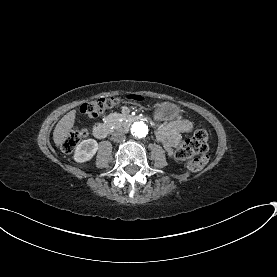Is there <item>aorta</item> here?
I'll use <instances>...</instances> for the list:
<instances>
[{
	"label": "aorta",
	"mask_w": 277,
	"mask_h": 277,
	"mask_svg": "<svg viewBox=\"0 0 277 277\" xmlns=\"http://www.w3.org/2000/svg\"><path fill=\"white\" fill-rule=\"evenodd\" d=\"M131 133L136 138H143L148 134V126L143 121L132 124Z\"/></svg>",
	"instance_id": "obj_1"
}]
</instances>
